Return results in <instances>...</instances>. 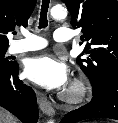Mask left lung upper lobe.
Segmentation results:
<instances>
[{"instance_id":"5c2ea615","label":"left lung upper lobe","mask_w":118,"mask_h":123,"mask_svg":"<svg viewBox=\"0 0 118 123\" xmlns=\"http://www.w3.org/2000/svg\"><path fill=\"white\" fill-rule=\"evenodd\" d=\"M71 14V26L80 28L87 44L77 59L93 87L118 73V1L62 0Z\"/></svg>"}]
</instances>
